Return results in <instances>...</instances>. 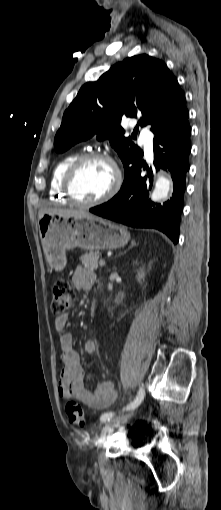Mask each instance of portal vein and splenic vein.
Here are the masks:
<instances>
[{
	"label": "portal vein and splenic vein",
	"mask_w": 221,
	"mask_h": 510,
	"mask_svg": "<svg viewBox=\"0 0 221 510\" xmlns=\"http://www.w3.org/2000/svg\"><path fill=\"white\" fill-rule=\"evenodd\" d=\"M99 264H100L101 266H104V265L106 264V261H105V260H103V259H101V260L99 261Z\"/></svg>",
	"instance_id": "portal-vein-and-splenic-vein-1"
}]
</instances>
